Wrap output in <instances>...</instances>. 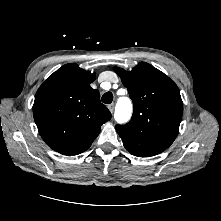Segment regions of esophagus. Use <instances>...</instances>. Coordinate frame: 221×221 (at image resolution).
Wrapping results in <instances>:
<instances>
[{"label":"esophagus","instance_id":"1","mask_svg":"<svg viewBox=\"0 0 221 221\" xmlns=\"http://www.w3.org/2000/svg\"><path fill=\"white\" fill-rule=\"evenodd\" d=\"M108 109H109V111H110L111 113H113V112H114V109H115V104H114V103L109 104V105H108Z\"/></svg>","mask_w":221,"mask_h":221}]
</instances>
